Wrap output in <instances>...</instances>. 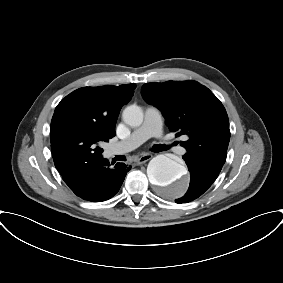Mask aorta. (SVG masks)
<instances>
[{"mask_svg": "<svg viewBox=\"0 0 283 283\" xmlns=\"http://www.w3.org/2000/svg\"><path fill=\"white\" fill-rule=\"evenodd\" d=\"M122 119L129 126H140L143 122V111L137 105H130L123 110ZM147 176L150 183L166 188V194L172 197L183 196L188 188L186 168L165 154L150 160Z\"/></svg>", "mask_w": 283, "mask_h": 283, "instance_id": "762f6f07", "label": "aorta"}]
</instances>
